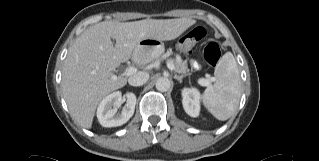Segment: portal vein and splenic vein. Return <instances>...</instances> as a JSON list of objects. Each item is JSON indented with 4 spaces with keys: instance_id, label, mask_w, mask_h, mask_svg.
<instances>
[{
    "instance_id": "18ae733b",
    "label": "portal vein and splenic vein",
    "mask_w": 319,
    "mask_h": 161,
    "mask_svg": "<svg viewBox=\"0 0 319 161\" xmlns=\"http://www.w3.org/2000/svg\"><path fill=\"white\" fill-rule=\"evenodd\" d=\"M167 67H168L171 71L175 70L174 65H173L171 62H169V61L167 62ZM135 72H136V68H134V67H129V68H127V69L125 70V74H126L127 76H130V75L134 74ZM212 81H213V78L210 77V76H207L206 78H200V79L198 80V83H199L200 85H202V86H208Z\"/></svg>"
}]
</instances>
